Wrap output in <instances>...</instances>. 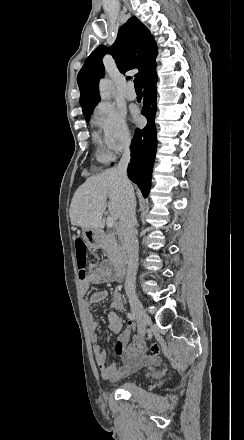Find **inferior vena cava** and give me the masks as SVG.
<instances>
[{"label":"inferior vena cava","instance_id":"obj_1","mask_svg":"<svg viewBox=\"0 0 244 440\" xmlns=\"http://www.w3.org/2000/svg\"><path fill=\"white\" fill-rule=\"evenodd\" d=\"M130 158L131 156L129 150H125L116 168L119 182L124 192L119 218V232L121 236H123L127 252V274L124 286L126 294H134L135 292V280L139 254L138 240L134 234V228L137 224L135 214L136 200L133 186L130 184L126 172Z\"/></svg>","mask_w":244,"mask_h":440}]
</instances>
